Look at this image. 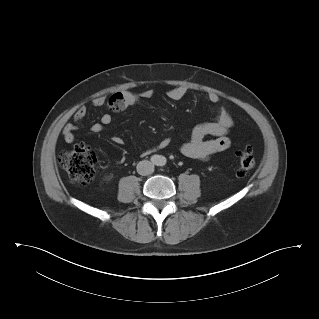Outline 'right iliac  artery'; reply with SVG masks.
Returning <instances> with one entry per match:
<instances>
[{
	"label": "right iliac artery",
	"instance_id": "1",
	"mask_svg": "<svg viewBox=\"0 0 319 319\" xmlns=\"http://www.w3.org/2000/svg\"><path fill=\"white\" fill-rule=\"evenodd\" d=\"M151 161H152L153 163H156V162L158 161V158L155 157V156H153V157L151 158Z\"/></svg>",
	"mask_w": 319,
	"mask_h": 319
}]
</instances>
